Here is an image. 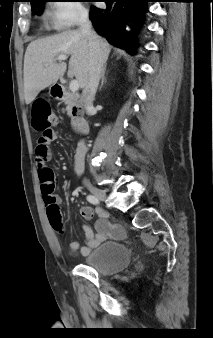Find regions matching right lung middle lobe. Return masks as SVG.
Returning a JSON list of instances; mask_svg holds the SVG:
<instances>
[{
  "label": "right lung middle lobe",
  "mask_w": 213,
  "mask_h": 338,
  "mask_svg": "<svg viewBox=\"0 0 213 338\" xmlns=\"http://www.w3.org/2000/svg\"><path fill=\"white\" fill-rule=\"evenodd\" d=\"M48 0H31V8L34 14L40 15L44 8V3Z\"/></svg>",
  "instance_id": "right-lung-middle-lobe-1"
}]
</instances>
